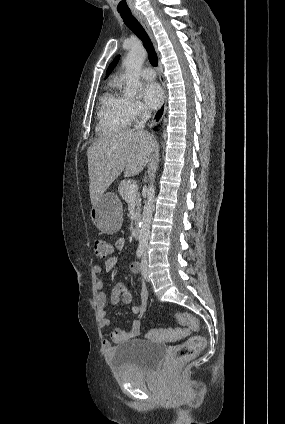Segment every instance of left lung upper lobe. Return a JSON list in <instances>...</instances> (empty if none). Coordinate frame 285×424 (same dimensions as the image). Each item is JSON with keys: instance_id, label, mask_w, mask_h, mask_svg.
I'll use <instances>...</instances> for the list:
<instances>
[{"instance_id": "obj_1", "label": "left lung upper lobe", "mask_w": 285, "mask_h": 424, "mask_svg": "<svg viewBox=\"0 0 285 424\" xmlns=\"http://www.w3.org/2000/svg\"><path fill=\"white\" fill-rule=\"evenodd\" d=\"M120 56H117L112 63L109 65L107 72H106V78L108 77V75L112 72V70L114 69V67L117 65L118 61H119Z\"/></svg>"}]
</instances>
